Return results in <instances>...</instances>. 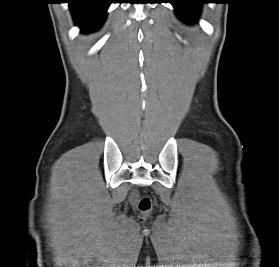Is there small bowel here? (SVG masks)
<instances>
[{
	"label": "small bowel",
	"mask_w": 279,
	"mask_h": 267,
	"mask_svg": "<svg viewBox=\"0 0 279 267\" xmlns=\"http://www.w3.org/2000/svg\"><path fill=\"white\" fill-rule=\"evenodd\" d=\"M135 197H136V196H135V195H133V197H132V198H133V200L135 199Z\"/></svg>",
	"instance_id": "obj_1"
}]
</instances>
